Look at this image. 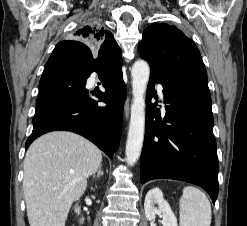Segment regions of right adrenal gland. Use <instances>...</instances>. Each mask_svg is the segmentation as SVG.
<instances>
[{"instance_id": "2a0ac1e0", "label": "right adrenal gland", "mask_w": 247, "mask_h": 226, "mask_svg": "<svg viewBox=\"0 0 247 226\" xmlns=\"http://www.w3.org/2000/svg\"><path fill=\"white\" fill-rule=\"evenodd\" d=\"M102 175H103L102 166H100L99 169H98V171H97V173H96V175H94V177L99 178Z\"/></svg>"}]
</instances>
